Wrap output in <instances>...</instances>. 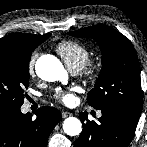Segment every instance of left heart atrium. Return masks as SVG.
Returning a JSON list of instances; mask_svg holds the SVG:
<instances>
[{
  "instance_id": "39dd6f15",
  "label": "left heart atrium",
  "mask_w": 147,
  "mask_h": 147,
  "mask_svg": "<svg viewBox=\"0 0 147 147\" xmlns=\"http://www.w3.org/2000/svg\"><path fill=\"white\" fill-rule=\"evenodd\" d=\"M79 91V87H72L68 90H57L54 97L66 105H71L76 101V93Z\"/></svg>"
}]
</instances>
